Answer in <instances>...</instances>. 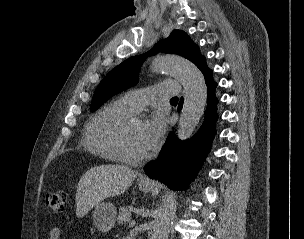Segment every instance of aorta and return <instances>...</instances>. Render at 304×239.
Wrapping results in <instances>:
<instances>
[{
  "instance_id": "aorta-1",
  "label": "aorta",
  "mask_w": 304,
  "mask_h": 239,
  "mask_svg": "<svg viewBox=\"0 0 304 239\" xmlns=\"http://www.w3.org/2000/svg\"><path fill=\"white\" fill-rule=\"evenodd\" d=\"M155 72L176 77L184 88V104L180 114L177 136L188 139L198 125L207 101V86L202 72L190 61L179 56H158L152 62ZM174 194L166 196L153 224L152 239H168L175 216Z\"/></svg>"
}]
</instances>
